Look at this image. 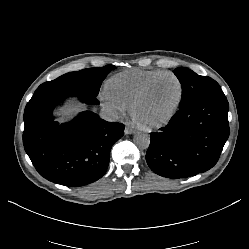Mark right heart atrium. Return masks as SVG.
<instances>
[{
  "instance_id": "1",
  "label": "right heart atrium",
  "mask_w": 249,
  "mask_h": 249,
  "mask_svg": "<svg viewBox=\"0 0 249 249\" xmlns=\"http://www.w3.org/2000/svg\"><path fill=\"white\" fill-rule=\"evenodd\" d=\"M100 101L113 116L123 115L128 109L125 104L109 95L106 91L101 94Z\"/></svg>"
}]
</instances>
